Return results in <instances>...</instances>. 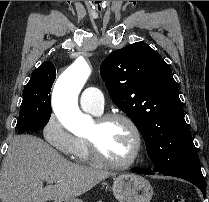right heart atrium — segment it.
Here are the masks:
<instances>
[{"instance_id":"d8ad5b80","label":"right heart atrium","mask_w":209,"mask_h":202,"mask_svg":"<svg viewBox=\"0 0 209 202\" xmlns=\"http://www.w3.org/2000/svg\"><path fill=\"white\" fill-rule=\"evenodd\" d=\"M43 137L58 152L66 156L73 153L79 140L63 127L54 114L48 117L43 127Z\"/></svg>"}]
</instances>
